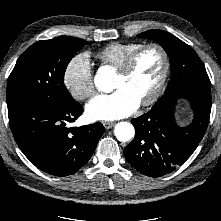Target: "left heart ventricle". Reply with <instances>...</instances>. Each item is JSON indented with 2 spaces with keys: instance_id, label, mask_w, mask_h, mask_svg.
<instances>
[{
  "instance_id": "1",
  "label": "left heart ventricle",
  "mask_w": 221,
  "mask_h": 221,
  "mask_svg": "<svg viewBox=\"0 0 221 221\" xmlns=\"http://www.w3.org/2000/svg\"><path fill=\"white\" fill-rule=\"evenodd\" d=\"M162 66L161 54L156 49H148L139 56L129 75L116 74L113 88L126 90L141 103L156 88Z\"/></svg>"
}]
</instances>
